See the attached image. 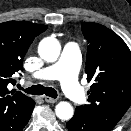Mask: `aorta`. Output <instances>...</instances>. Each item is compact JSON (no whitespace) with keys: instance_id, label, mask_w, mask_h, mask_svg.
Listing matches in <instances>:
<instances>
[{"instance_id":"762f6f07","label":"aorta","mask_w":131,"mask_h":131,"mask_svg":"<svg viewBox=\"0 0 131 131\" xmlns=\"http://www.w3.org/2000/svg\"><path fill=\"white\" fill-rule=\"evenodd\" d=\"M61 46L59 41L54 37L44 38L38 48L40 57L47 62H55L60 55ZM56 116L61 120L72 118L73 107L65 101L59 102L55 107Z\"/></svg>"}]
</instances>
